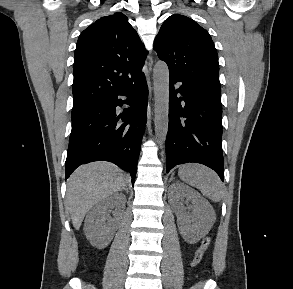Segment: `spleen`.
<instances>
[{
    "mask_svg": "<svg viewBox=\"0 0 293 289\" xmlns=\"http://www.w3.org/2000/svg\"><path fill=\"white\" fill-rule=\"evenodd\" d=\"M180 178L189 185L198 188L202 194L214 202L223 196V185L218 175L201 164H186L179 168Z\"/></svg>",
    "mask_w": 293,
    "mask_h": 289,
    "instance_id": "spleen-1",
    "label": "spleen"
}]
</instances>
